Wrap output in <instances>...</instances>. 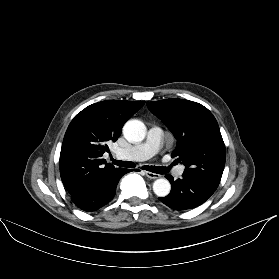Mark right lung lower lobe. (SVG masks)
I'll return each instance as SVG.
<instances>
[{
    "mask_svg": "<svg viewBox=\"0 0 279 279\" xmlns=\"http://www.w3.org/2000/svg\"><path fill=\"white\" fill-rule=\"evenodd\" d=\"M128 172H130L129 169L123 168L122 171L107 178L95 187L83 193L72 195V201L84 211L98 210L113 199L120 178Z\"/></svg>",
    "mask_w": 279,
    "mask_h": 279,
    "instance_id": "right-lung-lower-lobe-1",
    "label": "right lung lower lobe"
}]
</instances>
